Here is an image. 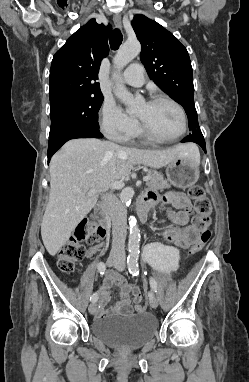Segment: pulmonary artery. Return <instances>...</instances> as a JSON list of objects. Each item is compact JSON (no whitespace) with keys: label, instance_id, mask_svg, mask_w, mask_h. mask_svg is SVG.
<instances>
[{"label":"pulmonary artery","instance_id":"pulmonary-artery-1","mask_svg":"<svg viewBox=\"0 0 249 382\" xmlns=\"http://www.w3.org/2000/svg\"><path fill=\"white\" fill-rule=\"evenodd\" d=\"M122 81L131 86L139 87L144 84V67L140 63L130 64L122 74Z\"/></svg>","mask_w":249,"mask_h":382}]
</instances>
